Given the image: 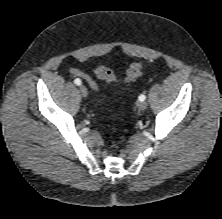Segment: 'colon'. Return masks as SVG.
I'll return each instance as SVG.
<instances>
[{"label": "colon", "instance_id": "1", "mask_svg": "<svg viewBox=\"0 0 222 219\" xmlns=\"http://www.w3.org/2000/svg\"><path fill=\"white\" fill-rule=\"evenodd\" d=\"M94 72L99 79L107 82L129 84L134 82L141 75L142 64L140 62H132L122 79L118 78L114 72L106 66H98L95 68ZM91 87L95 89L96 85H91Z\"/></svg>", "mask_w": 222, "mask_h": 219}]
</instances>
